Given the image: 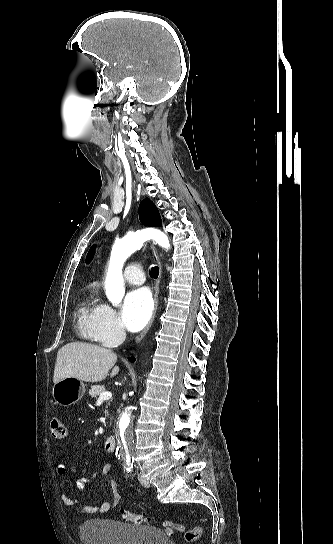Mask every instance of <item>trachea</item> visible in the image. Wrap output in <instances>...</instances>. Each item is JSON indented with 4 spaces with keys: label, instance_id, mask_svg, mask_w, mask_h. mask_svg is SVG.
Here are the masks:
<instances>
[{
    "label": "trachea",
    "instance_id": "3493384b",
    "mask_svg": "<svg viewBox=\"0 0 333 544\" xmlns=\"http://www.w3.org/2000/svg\"><path fill=\"white\" fill-rule=\"evenodd\" d=\"M159 274V268L157 266L152 267L151 269V276L156 279Z\"/></svg>",
    "mask_w": 333,
    "mask_h": 544
}]
</instances>
